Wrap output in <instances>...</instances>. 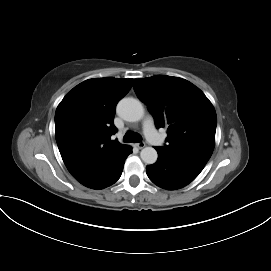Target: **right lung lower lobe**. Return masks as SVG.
<instances>
[{
    "instance_id": "1",
    "label": "right lung lower lobe",
    "mask_w": 271,
    "mask_h": 271,
    "mask_svg": "<svg viewBox=\"0 0 271 271\" xmlns=\"http://www.w3.org/2000/svg\"><path fill=\"white\" fill-rule=\"evenodd\" d=\"M132 153L131 147H127L124 153L97 179L85 184L92 189H103L114 184L121 176L125 159Z\"/></svg>"
}]
</instances>
